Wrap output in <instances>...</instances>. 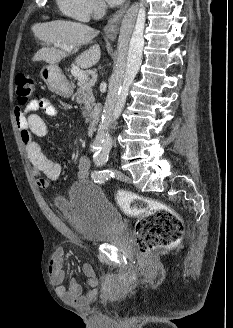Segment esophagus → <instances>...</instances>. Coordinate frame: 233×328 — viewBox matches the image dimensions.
<instances>
[{"instance_id":"1","label":"esophagus","mask_w":233,"mask_h":328,"mask_svg":"<svg viewBox=\"0 0 233 328\" xmlns=\"http://www.w3.org/2000/svg\"><path fill=\"white\" fill-rule=\"evenodd\" d=\"M129 4H130V0H127L126 3L118 11H116L114 14H112V16L109 18V20L104 28L105 35L109 39L114 40L116 38V36L118 34L121 19H122L124 13L126 12Z\"/></svg>"}]
</instances>
